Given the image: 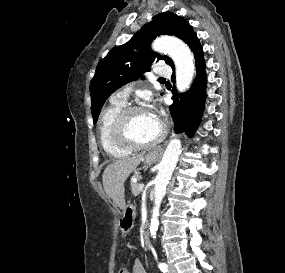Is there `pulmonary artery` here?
Returning <instances> with one entry per match:
<instances>
[{
    "label": "pulmonary artery",
    "instance_id": "1",
    "mask_svg": "<svg viewBox=\"0 0 285 273\" xmlns=\"http://www.w3.org/2000/svg\"><path fill=\"white\" fill-rule=\"evenodd\" d=\"M172 73V70L169 66L160 64L156 69H155V74L161 78L169 77ZM130 89L129 88H124L118 92H116L112 96L113 101H121V102H126L128 96H129Z\"/></svg>",
    "mask_w": 285,
    "mask_h": 273
}]
</instances>
